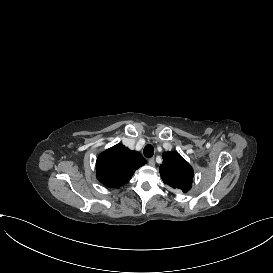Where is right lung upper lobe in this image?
I'll list each match as a JSON object with an SVG mask.
<instances>
[{"instance_id":"cb5924a9","label":"right lung upper lobe","mask_w":273,"mask_h":273,"mask_svg":"<svg viewBox=\"0 0 273 273\" xmlns=\"http://www.w3.org/2000/svg\"><path fill=\"white\" fill-rule=\"evenodd\" d=\"M140 153L117 144L101 153L96 161L98 180L107 187L118 188L145 164Z\"/></svg>"}]
</instances>
